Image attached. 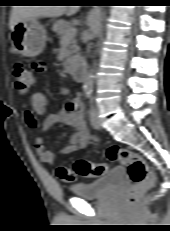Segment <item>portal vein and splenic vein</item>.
I'll return each mask as SVG.
<instances>
[{"label": "portal vein and splenic vein", "mask_w": 170, "mask_h": 231, "mask_svg": "<svg viewBox=\"0 0 170 231\" xmlns=\"http://www.w3.org/2000/svg\"><path fill=\"white\" fill-rule=\"evenodd\" d=\"M76 34V29L75 28H71L65 31L64 40H69L71 37L75 36Z\"/></svg>", "instance_id": "1"}]
</instances>
